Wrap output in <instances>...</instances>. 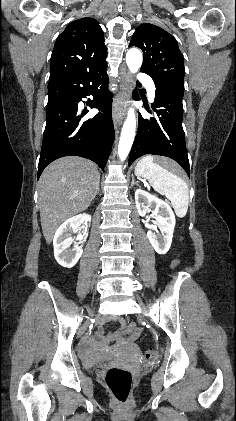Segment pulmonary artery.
<instances>
[{
  "label": "pulmonary artery",
  "instance_id": "1",
  "mask_svg": "<svg viewBox=\"0 0 236 421\" xmlns=\"http://www.w3.org/2000/svg\"><path fill=\"white\" fill-rule=\"evenodd\" d=\"M139 77H138V80L139 81H141V84L143 85V86H150L151 84H152V79L150 78V77H142V76H144L145 75V72L144 71H140L139 72ZM154 87L153 86H150L149 88H148V98H149V101L150 102H153L154 101Z\"/></svg>",
  "mask_w": 236,
  "mask_h": 421
}]
</instances>
